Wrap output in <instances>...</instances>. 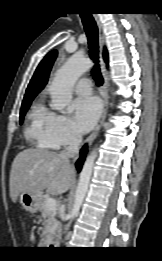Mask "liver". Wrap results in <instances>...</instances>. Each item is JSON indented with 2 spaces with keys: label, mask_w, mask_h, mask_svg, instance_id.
<instances>
[{
  "label": "liver",
  "mask_w": 162,
  "mask_h": 261,
  "mask_svg": "<svg viewBox=\"0 0 162 261\" xmlns=\"http://www.w3.org/2000/svg\"><path fill=\"white\" fill-rule=\"evenodd\" d=\"M75 181V172L62 155L48 150L29 148L15 157L10 172V197L16 202L22 193L58 195Z\"/></svg>",
  "instance_id": "1"
}]
</instances>
